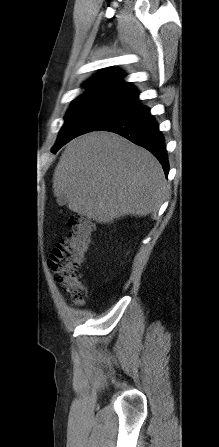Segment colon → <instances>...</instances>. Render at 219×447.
Returning <instances> with one entry per match:
<instances>
[{
    "label": "colon",
    "instance_id": "5ec220e1",
    "mask_svg": "<svg viewBox=\"0 0 219 447\" xmlns=\"http://www.w3.org/2000/svg\"><path fill=\"white\" fill-rule=\"evenodd\" d=\"M69 226V235L53 249L49 266L55 280L67 289L75 302H81L86 289L80 281V268L91 245L94 224L84 216L74 215L69 219Z\"/></svg>",
    "mask_w": 219,
    "mask_h": 447
}]
</instances>
